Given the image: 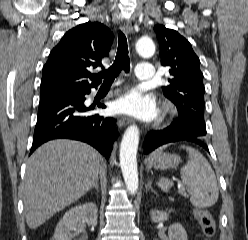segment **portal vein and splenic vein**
Returning <instances> with one entry per match:
<instances>
[{
	"mask_svg": "<svg viewBox=\"0 0 248 240\" xmlns=\"http://www.w3.org/2000/svg\"><path fill=\"white\" fill-rule=\"evenodd\" d=\"M183 191H184L183 188L179 187V192L183 193Z\"/></svg>",
	"mask_w": 248,
	"mask_h": 240,
	"instance_id": "1",
	"label": "portal vein and splenic vein"
}]
</instances>
